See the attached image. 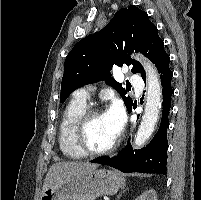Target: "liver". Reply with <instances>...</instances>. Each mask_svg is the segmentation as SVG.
<instances>
[{
  "mask_svg": "<svg viewBox=\"0 0 201 200\" xmlns=\"http://www.w3.org/2000/svg\"><path fill=\"white\" fill-rule=\"evenodd\" d=\"M98 167L97 164H91L87 162H59L53 164L44 180L42 191H46L52 185L58 183L62 179L73 175L75 173L92 171Z\"/></svg>",
  "mask_w": 201,
  "mask_h": 200,
  "instance_id": "liver-1",
  "label": "liver"
}]
</instances>
